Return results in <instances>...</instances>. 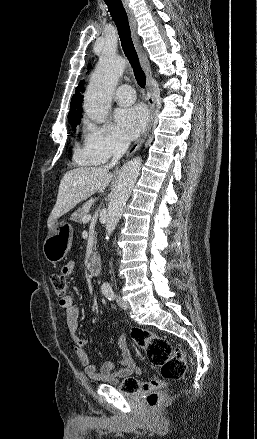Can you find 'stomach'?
Listing matches in <instances>:
<instances>
[{
    "mask_svg": "<svg viewBox=\"0 0 257 439\" xmlns=\"http://www.w3.org/2000/svg\"><path fill=\"white\" fill-rule=\"evenodd\" d=\"M73 228L70 223L56 219L49 227L43 253L51 263L61 261L72 246Z\"/></svg>",
    "mask_w": 257,
    "mask_h": 439,
    "instance_id": "1",
    "label": "stomach"
}]
</instances>
